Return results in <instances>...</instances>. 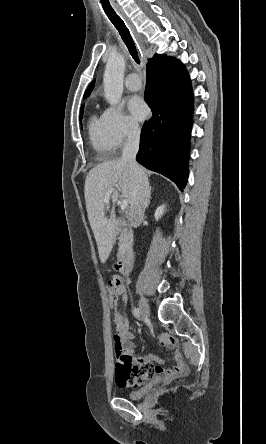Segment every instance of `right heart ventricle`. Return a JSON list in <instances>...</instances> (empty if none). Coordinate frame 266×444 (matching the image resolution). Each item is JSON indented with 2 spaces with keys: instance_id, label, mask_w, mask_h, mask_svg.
Here are the masks:
<instances>
[{
  "instance_id": "right-heart-ventricle-1",
  "label": "right heart ventricle",
  "mask_w": 266,
  "mask_h": 444,
  "mask_svg": "<svg viewBox=\"0 0 266 444\" xmlns=\"http://www.w3.org/2000/svg\"><path fill=\"white\" fill-rule=\"evenodd\" d=\"M88 135L94 151L102 156L109 157L113 153V146L108 137L103 116L91 115L88 120Z\"/></svg>"
}]
</instances>
